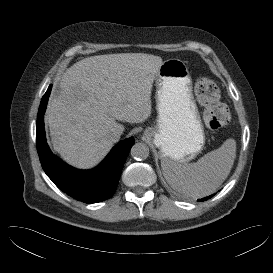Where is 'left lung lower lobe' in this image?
I'll return each mask as SVG.
<instances>
[{"mask_svg": "<svg viewBox=\"0 0 273 273\" xmlns=\"http://www.w3.org/2000/svg\"><path fill=\"white\" fill-rule=\"evenodd\" d=\"M212 196H213V195H211V196H209V197H205V198H203V199H201V200H198V201H205V200L211 198Z\"/></svg>", "mask_w": 273, "mask_h": 273, "instance_id": "0a47b994", "label": "left lung lower lobe"}]
</instances>
